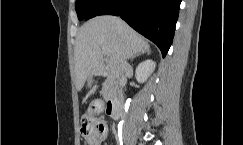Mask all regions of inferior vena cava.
<instances>
[{"label": "inferior vena cava", "instance_id": "obj_1", "mask_svg": "<svg viewBox=\"0 0 243 145\" xmlns=\"http://www.w3.org/2000/svg\"><path fill=\"white\" fill-rule=\"evenodd\" d=\"M121 68H122V75L121 78L119 79L120 82V86H125L126 82H127V78L125 73H127L130 69L131 66L129 65V63L126 60H123L121 63Z\"/></svg>", "mask_w": 243, "mask_h": 145}]
</instances>
